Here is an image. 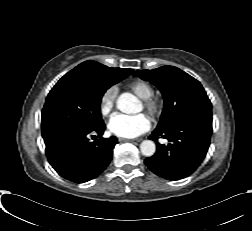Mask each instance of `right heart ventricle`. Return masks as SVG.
Segmentation results:
<instances>
[{
  "label": "right heart ventricle",
  "instance_id": "e07e8e85",
  "mask_svg": "<svg viewBox=\"0 0 252 231\" xmlns=\"http://www.w3.org/2000/svg\"><path fill=\"white\" fill-rule=\"evenodd\" d=\"M129 88L141 99L147 100L154 95L153 87L146 81L137 80L129 84Z\"/></svg>",
  "mask_w": 252,
  "mask_h": 231
}]
</instances>
